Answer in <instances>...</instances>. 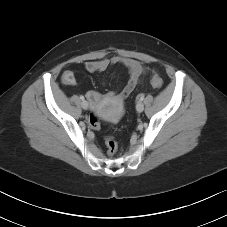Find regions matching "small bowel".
Segmentation results:
<instances>
[{"label": "small bowel", "instance_id": "c3829d8e", "mask_svg": "<svg viewBox=\"0 0 227 227\" xmlns=\"http://www.w3.org/2000/svg\"><path fill=\"white\" fill-rule=\"evenodd\" d=\"M118 64L124 66L128 71L129 79L127 83L120 92H109L105 95L96 91L87 92V98L92 104H99L105 99L123 101L134 91L142 76L147 72V68L141 62L121 56L86 61L84 69L90 73H101ZM61 82L64 85H74L76 83L75 73L71 70L64 71L61 75Z\"/></svg>", "mask_w": 227, "mask_h": 227}]
</instances>
